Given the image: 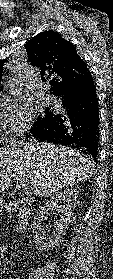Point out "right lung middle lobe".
<instances>
[{"mask_svg": "<svg viewBox=\"0 0 113 279\" xmlns=\"http://www.w3.org/2000/svg\"><path fill=\"white\" fill-rule=\"evenodd\" d=\"M51 113H52V112H51L49 109H46V110L44 111V114L39 115V116L36 118V121H35L33 127H35V126H37V125L43 123L44 121H46V120L50 117Z\"/></svg>", "mask_w": 113, "mask_h": 279, "instance_id": "right-lung-middle-lobe-1", "label": "right lung middle lobe"}]
</instances>
